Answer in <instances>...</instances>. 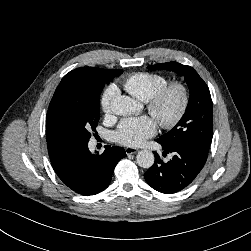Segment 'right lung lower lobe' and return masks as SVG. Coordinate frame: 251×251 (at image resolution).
<instances>
[{
    "label": "right lung lower lobe",
    "mask_w": 251,
    "mask_h": 251,
    "mask_svg": "<svg viewBox=\"0 0 251 251\" xmlns=\"http://www.w3.org/2000/svg\"><path fill=\"white\" fill-rule=\"evenodd\" d=\"M125 156L122 147L106 145L104 152L98 154L89 151L88 143H73L51 159V164L64 185L89 196L109 186L116 164Z\"/></svg>",
    "instance_id": "right-lung-lower-lobe-1"
}]
</instances>
